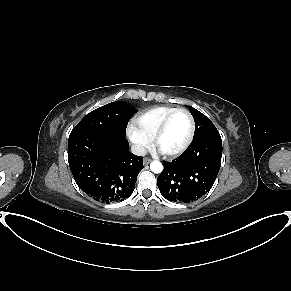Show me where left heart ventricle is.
I'll use <instances>...</instances> for the list:
<instances>
[{"label":"left heart ventricle","instance_id":"obj_1","mask_svg":"<svg viewBox=\"0 0 291 291\" xmlns=\"http://www.w3.org/2000/svg\"><path fill=\"white\" fill-rule=\"evenodd\" d=\"M190 121L185 113L175 114L168 123L167 129L161 137L158 147L169 152L180 148L188 138Z\"/></svg>","mask_w":291,"mask_h":291}]
</instances>
